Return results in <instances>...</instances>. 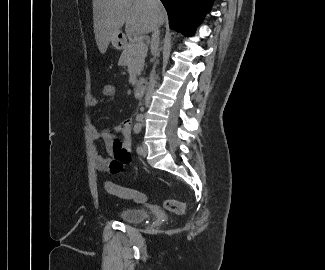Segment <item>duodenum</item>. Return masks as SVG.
Wrapping results in <instances>:
<instances>
[{"instance_id":"410a0bca","label":"duodenum","mask_w":325,"mask_h":270,"mask_svg":"<svg viewBox=\"0 0 325 270\" xmlns=\"http://www.w3.org/2000/svg\"><path fill=\"white\" fill-rule=\"evenodd\" d=\"M147 81L145 79H139L134 86V97L136 99H141L146 91Z\"/></svg>"}]
</instances>
